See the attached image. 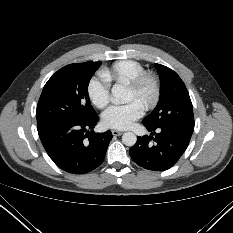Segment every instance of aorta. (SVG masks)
<instances>
[{
  "label": "aorta",
  "instance_id": "obj_1",
  "mask_svg": "<svg viewBox=\"0 0 233 233\" xmlns=\"http://www.w3.org/2000/svg\"><path fill=\"white\" fill-rule=\"evenodd\" d=\"M111 92H112L113 97H115L116 99L122 102L128 100L127 89L121 84L113 85ZM136 141H137V137L132 132H126L122 136V142L126 146H133L135 145Z\"/></svg>",
  "mask_w": 233,
  "mask_h": 233
}]
</instances>
